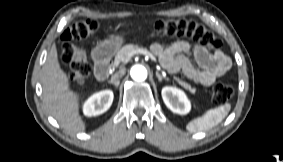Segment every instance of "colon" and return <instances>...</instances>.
Returning a JSON list of instances; mask_svg holds the SVG:
<instances>
[{"label": "colon", "instance_id": "colon-1", "mask_svg": "<svg viewBox=\"0 0 283 162\" xmlns=\"http://www.w3.org/2000/svg\"><path fill=\"white\" fill-rule=\"evenodd\" d=\"M98 29L95 20H81L73 23L61 35L63 62L68 67V77L74 85H81L89 76L91 66L86 51L77 42L92 37ZM157 36L189 37L195 42L213 50L222 46L221 40L203 25L186 19H160L152 24ZM234 94V88L226 82L213 87L212 100L216 105L226 103Z\"/></svg>", "mask_w": 283, "mask_h": 162}]
</instances>
